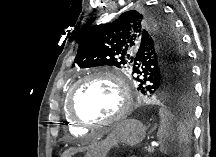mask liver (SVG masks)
I'll list each match as a JSON object with an SVG mask.
<instances>
[{
  "label": "liver",
  "mask_w": 216,
  "mask_h": 157,
  "mask_svg": "<svg viewBox=\"0 0 216 157\" xmlns=\"http://www.w3.org/2000/svg\"><path fill=\"white\" fill-rule=\"evenodd\" d=\"M83 150H84V148H81V149H70L68 151H65L62 154V157H70V156L74 155L75 153L83 151Z\"/></svg>",
  "instance_id": "liver-1"
}]
</instances>
